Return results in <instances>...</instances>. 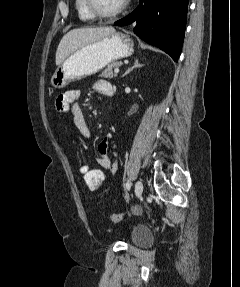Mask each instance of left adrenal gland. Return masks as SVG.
Here are the masks:
<instances>
[{"instance_id": "1", "label": "left adrenal gland", "mask_w": 240, "mask_h": 287, "mask_svg": "<svg viewBox=\"0 0 240 287\" xmlns=\"http://www.w3.org/2000/svg\"><path fill=\"white\" fill-rule=\"evenodd\" d=\"M142 66H143V65L139 63V60L136 59V60L134 61L133 66L130 67V68H128V69L125 71V73L122 75V77H124V76H126L127 74H129L133 69L139 68V67H142Z\"/></svg>"}]
</instances>
